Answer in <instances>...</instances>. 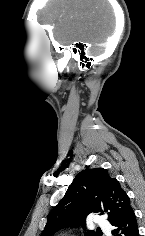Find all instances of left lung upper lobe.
<instances>
[{
    "label": "left lung upper lobe",
    "mask_w": 145,
    "mask_h": 236,
    "mask_svg": "<svg viewBox=\"0 0 145 236\" xmlns=\"http://www.w3.org/2000/svg\"><path fill=\"white\" fill-rule=\"evenodd\" d=\"M131 209L128 195L107 170L85 169L76 175L64 198L50 212L40 236H52L68 225H82L91 212L106 214L108 221L113 224ZM85 235L97 236V233L88 231Z\"/></svg>",
    "instance_id": "5c2ea615"
}]
</instances>
